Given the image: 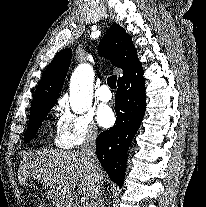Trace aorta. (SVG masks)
Wrapping results in <instances>:
<instances>
[{
	"instance_id": "762f6f07",
	"label": "aorta",
	"mask_w": 206,
	"mask_h": 207,
	"mask_svg": "<svg viewBox=\"0 0 206 207\" xmlns=\"http://www.w3.org/2000/svg\"><path fill=\"white\" fill-rule=\"evenodd\" d=\"M94 75L89 65L78 66L70 81V107L76 114H83L89 110L93 101Z\"/></svg>"
}]
</instances>
